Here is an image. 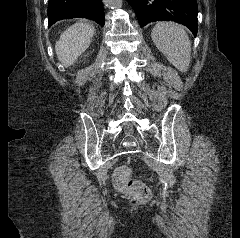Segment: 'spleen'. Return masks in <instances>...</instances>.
Masks as SVG:
<instances>
[{
	"label": "spleen",
	"mask_w": 240,
	"mask_h": 238,
	"mask_svg": "<svg viewBox=\"0 0 240 238\" xmlns=\"http://www.w3.org/2000/svg\"><path fill=\"white\" fill-rule=\"evenodd\" d=\"M156 47L179 71L186 72L190 65L191 43L186 31L171 22L157 23L151 33Z\"/></svg>",
	"instance_id": "3e777b00"
}]
</instances>
